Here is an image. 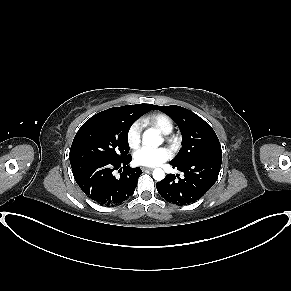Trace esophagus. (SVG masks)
I'll return each instance as SVG.
<instances>
[{
	"instance_id": "34e87169",
	"label": "esophagus",
	"mask_w": 291,
	"mask_h": 291,
	"mask_svg": "<svg viewBox=\"0 0 291 291\" xmlns=\"http://www.w3.org/2000/svg\"><path fill=\"white\" fill-rule=\"evenodd\" d=\"M141 169L143 171H152L153 170V168H148V167H142Z\"/></svg>"
}]
</instances>
